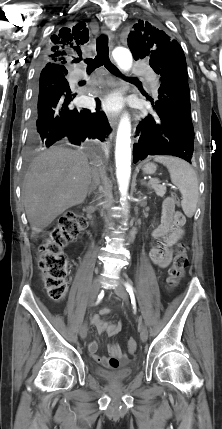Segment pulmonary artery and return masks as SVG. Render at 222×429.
I'll return each mask as SVG.
<instances>
[{
  "label": "pulmonary artery",
  "instance_id": "pulmonary-artery-1",
  "mask_svg": "<svg viewBox=\"0 0 222 429\" xmlns=\"http://www.w3.org/2000/svg\"><path fill=\"white\" fill-rule=\"evenodd\" d=\"M79 65H82L80 63ZM84 70L83 69H77L75 72V79H82L84 78ZM132 74L134 75H143L148 78L149 84L151 88L156 91L157 90V80L155 75L145 66H134L132 70Z\"/></svg>",
  "mask_w": 222,
  "mask_h": 429
}]
</instances>
